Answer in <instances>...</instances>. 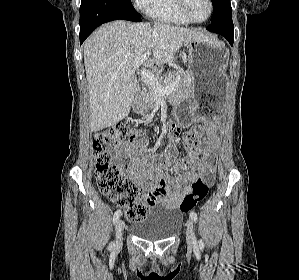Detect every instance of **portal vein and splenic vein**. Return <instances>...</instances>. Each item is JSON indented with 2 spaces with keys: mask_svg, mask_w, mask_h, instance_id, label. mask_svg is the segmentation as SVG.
<instances>
[{
  "mask_svg": "<svg viewBox=\"0 0 299 280\" xmlns=\"http://www.w3.org/2000/svg\"><path fill=\"white\" fill-rule=\"evenodd\" d=\"M150 55V53H146L144 55H142L141 57H139L138 59H136L133 63V68L134 69H138L140 65H142L144 63V61L147 59V57ZM141 73V77L143 79V81L149 85L156 94L160 95V96H164L170 92H172L173 90L176 89L178 82H179V76L176 77V79L170 83L168 86L163 87L158 79L151 73H148L144 70L140 71Z\"/></svg>",
  "mask_w": 299,
  "mask_h": 280,
  "instance_id": "1",
  "label": "portal vein and splenic vein"
}]
</instances>
